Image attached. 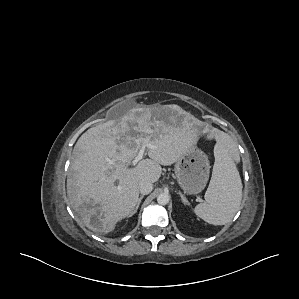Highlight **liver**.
Segmentation results:
<instances>
[{
  "instance_id": "obj_1",
  "label": "liver",
  "mask_w": 299,
  "mask_h": 299,
  "mask_svg": "<svg viewBox=\"0 0 299 299\" xmlns=\"http://www.w3.org/2000/svg\"><path fill=\"white\" fill-rule=\"evenodd\" d=\"M172 110L134 107L88 129L78 139L68 171L67 194L88 229L112 232L117 222L135 209L139 183L157 182L161 165L177 162L192 146V137L172 124ZM143 143L150 145L146 147L149 158L129 168Z\"/></svg>"
}]
</instances>
